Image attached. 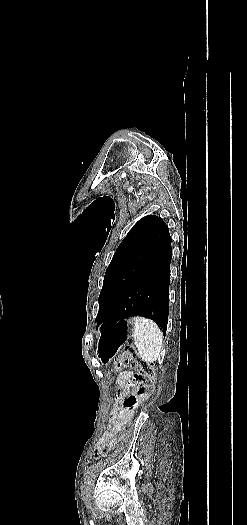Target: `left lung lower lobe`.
Returning a JSON list of instances; mask_svg holds the SVG:
<instances>
[{
    "instance_id": "left-lung-lower-lobe-1",
    "label": "left lung lower lobe",
    "mask_w": 247,
    "mask_h": 525,
    "mask_svg": "<svg viewBox=\"0 0 247 525\" xmlns=\"http://www.w3.org/2000/svg\"><path fill=\"white\" fill-rule=\"evenodd\" d=\"M171 259V237L167 231L146 269L114 304L103 322L114 323L122 318L144 316L157 322L165 335L168 322Z\"/></svg>"
}]
</instances>
